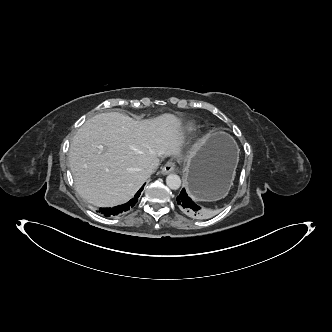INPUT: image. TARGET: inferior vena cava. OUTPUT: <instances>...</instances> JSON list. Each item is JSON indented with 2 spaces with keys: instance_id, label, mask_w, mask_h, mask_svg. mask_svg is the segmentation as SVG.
Returning a JSON list of instances; mask_svg holds the SVG:
<instances>
[{
  "instance_id": "inferior-vena-cava-1",
  "label": "inferior vena cava",
  "mask_w": 332,
  "mask_h": 332,
  "mask_svg": "<svg viewBox=\"0 0 332 332\" xmlns=\"http://www.w3.org/2000/svg\"><path fill=\"white\" fill-rule=\"evenodd\" d=\"M156 168H157V165H155V164H151V165L147 168V173H148L149 175L153 174V173L155 172Z\"/></svg>"
}]
</instances>
